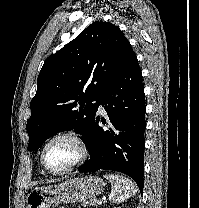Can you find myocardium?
Here are the masks:
<instances>
[{"mask_svg": "<svg viewBox=\"0 0 199 208\" xmlns=\"http://www.w3.org/2000/svg\"><path fill=\"white\" fill-rule=\"evenodd\" d=\"M58 139L72 140L79 148V156L74 162H72L70 165H68L64 168L52 169L48 166V164L46 162L45 152H46L47 147L53 141L58 140ZM88 156H89V148H88L86 141L84 140V138L80 134H78L77 132H74V131H64V132H60V133L53 135L45 142V144L43 145L42 150H41V162H42L43 166L45 167V169L53 174H66V173L74 170L75 168L82 165L87 160Z\"/></svg>", "mask_w": 199, "mask_h": 208, "instance_id": "f54148a6", "label": "myocardium"}]
</instances>
